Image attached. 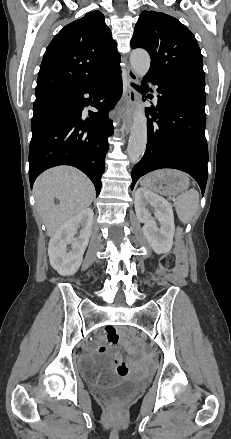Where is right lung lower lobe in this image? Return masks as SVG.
Returning a JSON list of instances; mask_svg holds the SVG:
<instances>
[{
	"label": "right lung lower lobe",
	"instance_id": "98d812e1",
	"mask_svg": "<svg viewBox=\"0 0 231 439\" xmlns=\"http://www.w3.org/2000/svg\"><path fill=\"white\" fill-rule=\"evenodd\" d=\"M120 73L118 67L83 87L36 95L34 105L52 104L56 110L32 118L29 147L31 187L44 170L58 165H71L91 179L96 196L99 195L105 155L109 148L107 140L114 131L108 112L122 94ZM86 94L89 98L85 97ZM88 105L99 112L89 111L86 117L83 109Z\"/></svg>",
	"mask_w": 231,
	"mask_h": 439
}]
</instances>
